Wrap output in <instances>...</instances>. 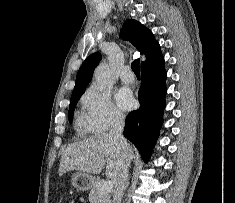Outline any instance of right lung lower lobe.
Returning a JSON list of instances; mask_svg holds the SVG:
<instances>
[{
  "label": "right lung lower lobe",
  "instance_id": "obj_1",
  "mask_svg": "<svg viewBox=\"0 0 235 203\" xmlns=\"http://www.w3.org/2000/svg\"><path fill=\"white\" fill-rule=\"evenodd\" d=\"M164 63L161 55L141 68L140 108L130 112L125 121L124 136L136 146L145 162L163 123L167 77Z\"/></svg>",
  "mask_w": 235,
  "mask_h": 203
}]
</instances>
